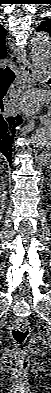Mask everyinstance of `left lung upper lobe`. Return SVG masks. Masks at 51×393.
Segmentation results:
<instances>
[{
  "label": "left lung upper lobe",
  "mask_w": 51,
  "mask_h": 393,
  "mask_svg": "<svg viewBox=\"0 0 51 393\" xmlns=\"http://www.w3.org/2000/svg\"><path fill=\"white\" fill-rule=\"evenodd\" d=\"M38 32H48L51 35V19L43 21L37 28Z\"/></svg>",
  "instance_id": "5c2ea615"
}]
</instances>
